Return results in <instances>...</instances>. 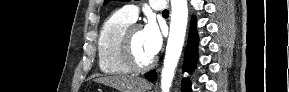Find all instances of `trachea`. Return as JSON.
Segmentation results:
<instances>
[{"label":"trachea","instance_id":"3493384b","mask_svg":"<svg viewBox=\"0 0 289 92\" xmlns=\"http://www.w3.org/2000/svg\"><path fill=\"white\" fill-rule=\"evenodd\" d=\"M162 13L163 14H169V11L168 10H164Z\"/></svg>","mask_w":289,"mask_h":92}]
</instances>
